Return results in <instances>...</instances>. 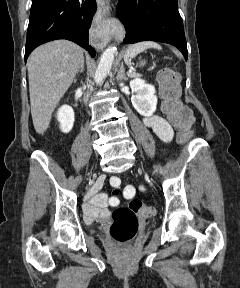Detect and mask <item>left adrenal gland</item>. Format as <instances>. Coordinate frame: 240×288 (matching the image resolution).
Returning <instances> with one entry per match:
<instances>
[{
	"label": "left adrenal gland",
	"instance_id": "obj_1",
	"mask_svg": "<svg viewBox=\"0 0 240 288\" xmlns=\"http://www.w3.org/2000/svg\"><path fill=\"white\" fill-rule=\"evenodd\" d=\"M116 79H117L118 81L127 80V79H128V78L126 77V75H125V70H124V64H123V62L121 63V67H120V69H119V71H118V73H117Z\"/></svg>",
	"mask_w": 240,
	"mask_h": 288
}]
</instances>
